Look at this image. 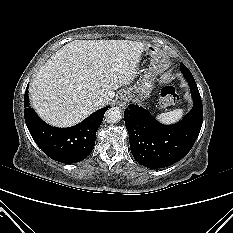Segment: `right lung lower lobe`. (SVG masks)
I'll return each mask as SVG.
<instances>
[{
	"label": "right lung lower lobe",
	"instance_id": "1",
	"mask_svg": "<svg viewBox=\"0 0 233 233\" xmlns=\"http://www.w3.org/2000/svg\"><path fill=\"white\" fill-rule=\"evenodd\" d=\"M27 88L24 95V117L28 130L39 148L50 158L61 163L70 164L84 160L94 148L96 131L109 106L94 112L75 126L52 127L42 121L31 108Z\"/></svg>",
	"mask_w": 233,
	"mask_h": 233
}]
</instances>
